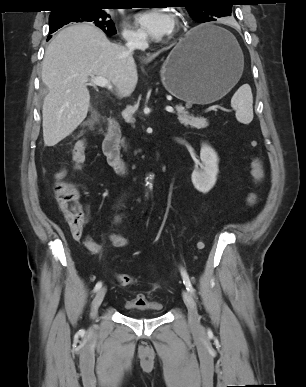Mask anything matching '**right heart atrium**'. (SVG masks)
Returning <instances> with one entry per match:
<instances>
[{"label": "right heart atrium", "instance_id": "right-heart-atrium-1", "mask_svg": "<svg viewBox=\"0 0 306 387\" xmlns=\"http://www.w3.org/2000/svg\"><path fill=\"white\" fill-rule=\"evenodd\" d=\"M122 36L129 43H138L144 39V36L141 32L131 29L127 26L123 28Z\"/></svg>", "mask_w": 306, "mask_h": 387}]
</instances>
